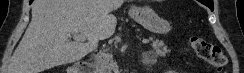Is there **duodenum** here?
Returning <instances> with one entry per match:
<instances>
[{"label":"duodenum","instance_id":"410a0bca","mask_svg":"<svg viewBox=\"0 0 244 73\" xmlns=\"http://www.w3.org/2000/svg\"><path fill=\"white\" fill-rule=\"evenodd\" d=\"M69 73H94L91 66L87 63H81L78 66H74Z\"/></svg>","mask_w":244,"mask_h":73}]
</instances>
